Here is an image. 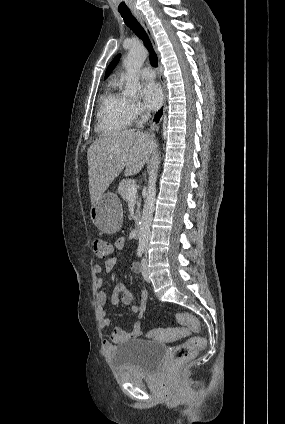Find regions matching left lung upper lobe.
<instances>
[{"label":"left lung upper lobe","instance_id":"5c2ea615","mask_svg":"<svg viewBox=\"0 0 285 424\" xmlns=\"http://www.w3.org/2000/svg\"><path fill=\"white\" fill-rule=\"evenodd\" d=\"M121 54H118L110 63L108 66L106 73H105V79L109 76V74L112 72V70L115 68V66L118 64L120 60Z\"/></svg>","mask_w":285,"mask_h":424}]
</instances>
